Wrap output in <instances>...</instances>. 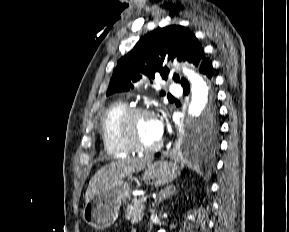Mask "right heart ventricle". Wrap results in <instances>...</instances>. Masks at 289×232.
Here are the masks:
<instances>
[{"instance_id":"e07e8e85","label":"right heart ventricle","mask_w":289,"mask_h":232,"mask_svg":"<svg viewBox=\"0 0 289 232\" xmlns=\"http://www.w3.org/2000/svg\"><path fill=\"white\" fill-rule=\"evenodd\" d=\"M128 109L127 104L118 101L107 107L101 119V138L106 153L112 157H128L134 152L121 140L119 135V122Z\"/></svg>"}]
</instances>
